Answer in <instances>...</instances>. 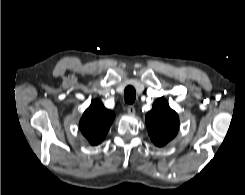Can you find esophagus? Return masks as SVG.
<instances>
[{
	"label": "esophagus",
	"mask_w": 245,
	"mask_h": 195,
	"mask_svg": "<svg viewBox=\"0 0 245 195\" xmlns=\"http://www.w3.org/2000/svg\"><path fill=\"white\" fill-rule=\"evenodd\" d=\"M127 112H128V114H135L136 109H135V107L133 105H129L127 107Z\"/></svg>",
	"instance_id": "obj_1"
}]
</instances>
